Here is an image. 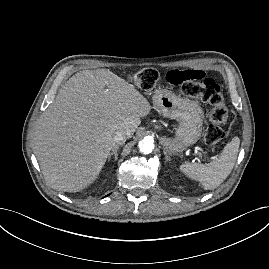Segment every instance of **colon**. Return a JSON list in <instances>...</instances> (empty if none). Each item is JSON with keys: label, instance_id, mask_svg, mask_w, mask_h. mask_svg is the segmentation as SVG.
Returning <instances> with one entry per match:
<instances>
[{"label": "colon", "instance_id": "1", "mask_svg": "<svg viewBox=\"0 0 269 269\" xmlns=\"http://www.w3.org/2000/svg\"><path fill=\"white\" fill-rule=\"evenodd\" d=\"M159 79L160 73L154 68H144L131 76V81L135 86L144 91L152 90ZM173 85H180L186 96L198 98L200 102L211 106L210 123L205 131L204 139L210 145L220 143L225 136L223 125L228 119V109L218 82L207 77L205 80L185 81Z\"/></svg>", "mask_w": 269, "mask_h": 269}]
</instances>
